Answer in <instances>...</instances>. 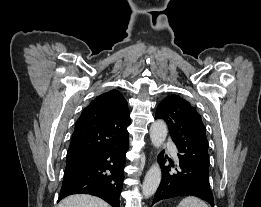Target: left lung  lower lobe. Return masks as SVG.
I'll return each mask as SVG.
<instances>
[{
  "label": "left lung lower lobe",
  "mask_w": 261,
  "mask_h": 207,
  "mask_svg": "<svg viewBox=\"0 0 261 207\" xmlns=\"http://www.w3.org/2000/svg\"><path fill=\"white\" fill-rule=\"evenodd\" d=\"M176 171L171 172L170 166H166L162 173V181L156 191L153 203L176 196H196L214 207V198L210 189L209 171L200 166L179 157ZM159 161L164 164L165 159ZM174 167V163L170 162Z\"/></svg>",
  "instance_id": "obj_1"
}]
</instances>
